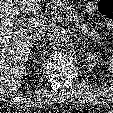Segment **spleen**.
Wrapping results in <instances>:
<instances>
[{
  "label": "spleen",
  "mask_w": 113,
  "mask_h": 113,
  "mask_svg": "<svg viewBox=\"0 0 113 113\" xmlns=\"http://www.w3.org/2000/svg\"><path fill=\"white\" fill-rule=\"evenodd\" d=\"M108 70L113 74V55L110 57L109 62L107 63Z\"/></svg>",
  "instance_id": "obj_1"
}]
</instances>
